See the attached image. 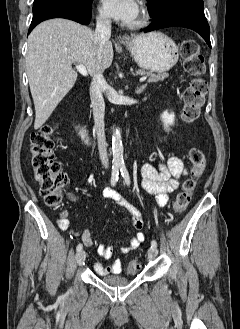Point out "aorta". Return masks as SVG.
Wrapping results in <instances>:
<instances>
[{"mask_svg":"<svg viewBox=\"0 0 240 329\" xmlns=\"http://www.w3.org/2000/svg\"><path fill=\"white\" fill-rule=\"evenodd\" d=\"M112 154H113L114 165L122 166L124 164L123 144H122V137L119 129H116L112 135Z\"/></svg>","mask_w":240,"mask_h":329,"instance_id":"1","label":"aorta"}]
</instances>
